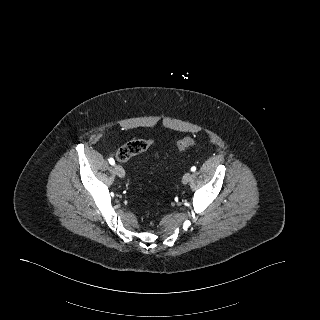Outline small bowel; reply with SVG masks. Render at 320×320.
<instances>
[{
  "mask_svg": "<svg viewBox=\"0 0 320 320\" xmlns=\"http://www.w3.org/2000/svg\"><path fill=\"white\" fill-rule=\"evenodd\" d=\"M147 142H148L149 144H151V143H152V141H151V140H147Z\"/></svg>",
  "mask_w": 320,
  "mask_h": 320,
  "instance_id": "obj_1",
  "label": "small bowel"
}]
</instances>
